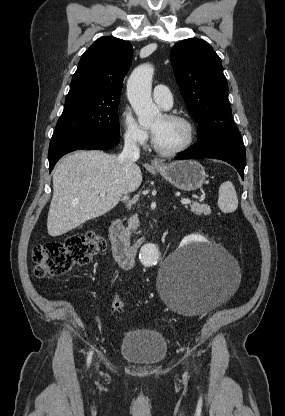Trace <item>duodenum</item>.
Listing matches in <instances>:
<instances>
[{
    "label": "duodenum",
    "mask_w": 285,
    "mask_h": 416,
    "mask_svg": "<svg viewBox=\"0 0 285 416\" xmlns=\"http://www.w3.org/2000/svg\"><path fill=\"white\" fill-rule=\"evenodd\" d=\"M109 238L112 244L113 254L120 267L124 270L134 268L138 250L144 240L139 239L138 241L131 243L126 236L120 221L117 219L113 220L110 224Z\"/></svg>",
    "instance_id": "410a0bca"
}]
</instances>
